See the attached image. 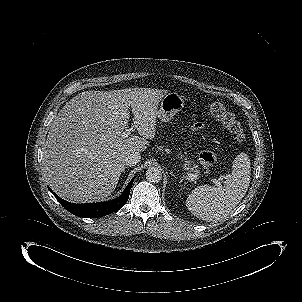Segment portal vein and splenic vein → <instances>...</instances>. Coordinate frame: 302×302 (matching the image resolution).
I'll return each mask as SVG.
<instances>
[{"instance_id": "obj_1", "label": "portal vein and splenic vein", "mask_w": 302, "mask_h": 302, "mask_svg": "<svg viewBox=\"0 0 302 302\" xmlns=\"http://www.w3.org/2000/svg\"><path fill=\"white\" fill-rule=\"evenodd\" d=\"M132 132H133V128H129V129L125 130V131L121 134V136H122L123 138H127V137L130 136V134H131ZM188 177H189L191 180H198V179H199V176H198V175L192 174V173H189V174H188ZM211 182L215 183V185H217V186H220V185H221L220 181L217 180V179H214V178L211 179Z\"/></svg>"}]
</instances>
